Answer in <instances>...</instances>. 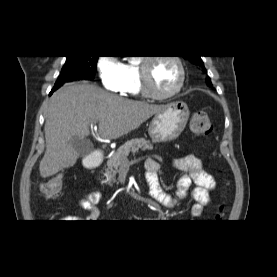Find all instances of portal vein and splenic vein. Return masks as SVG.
Here are the masks:
<instances>
[{"mask_svg":"<svg viewBox=\"0 0 277 277\" xmlns=\"http://www.w3.org/2000/svg\"><path fill=\"white\" fill-rule=\"evenodd\" d=\"M94 123H91V126H93ZM128 162V161H127Z\"/></svg>","mask_w":277,"mask_h":277,"instance_id":"portal-vein-and-splenic-vein-1","label":"portal vein and splenic vein"}]
</instances>
